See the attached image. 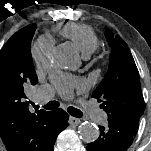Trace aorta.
I'll use <instances>...</instances> for the list:
<instances>
[{"label":"aorta","mask_w":151,"mask_h":151,"mask_svg":"<svg viewBox=\"0 0 151 151\" xmlns=\"http://www.w3.org/2000/svg\"><path fill=\"white\" fill-rule=\"evenodd\" d=\"M54 62L63 68H71L75 66V54L72 48L67 44L59 45L54 52ZM78 133L82 141L86 143L94 142L99 137V129L94 123L83 122Z\"/></svg>","instance_id":"1"}]
</instances>
